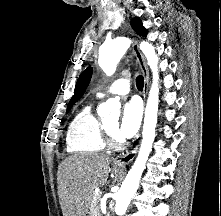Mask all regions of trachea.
I'll return each mask as SVG.
<instances>
[{"instance_id":"1","label":"trachea","mask_w":221,"mask_h":216,"mask_svg":"<svg viewBox=\"0 0 221 216\" xmlns=\"http://www.w3.org/2000/svg\"><path fill=\"white\" fill-rule=\"evenodd\" d=\"M143 85H144L143 76H138L136 78V86H137L138 90H143Z\"/></svg>"}]
</instances>
